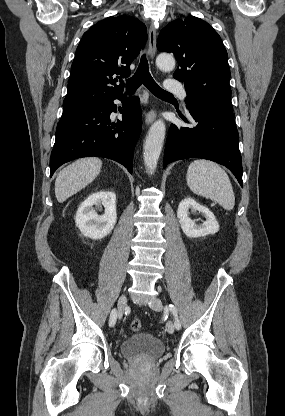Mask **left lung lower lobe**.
Returning <instances> with one entry per match:
<instances>
[{
  "mask_svg": "<svg viewBox=\"0 0 285 416\" xmlns=\"http://www.w3.org/2000/svg\"><path fill=\"white\" fill-rule=\"evenodd\" d=\"M188 110L197 125L193 128L170 126L163 168L181 159H208L226 166L243 187L239 134L233 111L216 107H191ZM181 117L186 121L184 116Z\"/></svg>",
  "mask_w": 285,
  "mask_h": 416,
  "instance_id": "1",
  "label": "left lung lower lobe"
}]
</instances>
